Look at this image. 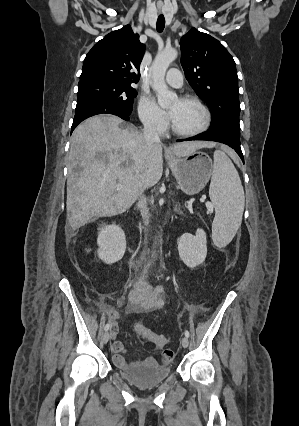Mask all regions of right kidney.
I'll return each instance as SVG.
<instances>
[{
    "label": "right kidney",
    "instance_id": "right-kidney-1",
    "mask_svg": "<svg viewBox=\"0 0 299 426\" xmlns=\"http://www.w3.org/2000/svg\"><path fill=\"white\" fill-rule=\"evenodd\" d=\"M97 254L105 264H113L122 259L126 250L124 231L115 224L99 229Z\"/></svg>",
    "mask_w": 299,
    "mask_h": 426
}]
</instances>
